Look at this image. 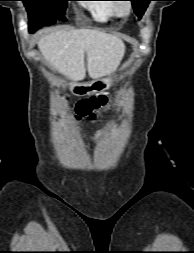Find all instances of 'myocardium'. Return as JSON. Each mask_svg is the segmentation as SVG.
I'll return each instance as SVG.
<instances>
[{"label": "myocardium", "instance_id": "obj_1", "mask_svg": "<svg viewBox=\"0 0 194 253\" xmlns=\"http://www.w3.org/2000/svg\"><path fill=\"white\" fill-rule=\"evenodd\" d=\"M116 8L121 17H128L133 11V5L129 1L116 2Z\"/></svg>", "mask_w": 194, "mask_h": 253}]
</instances>
